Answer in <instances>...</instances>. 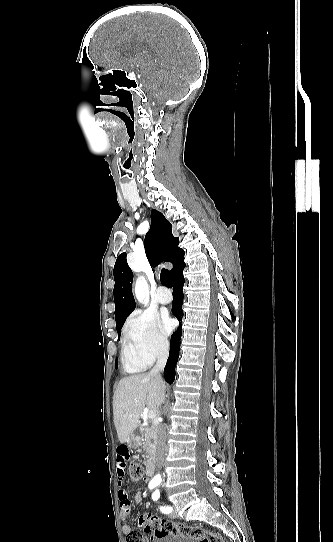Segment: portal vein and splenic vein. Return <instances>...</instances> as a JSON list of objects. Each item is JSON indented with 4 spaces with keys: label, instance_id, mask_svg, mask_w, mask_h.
<instances>
[{
    "label": "portal vein and splenic vein",
    "instance_id": "1",
    "mask_svg": "<svg viewBox=\"0 0 333 542\" xmlns=\"http://www.w3.org/2000/svg\"><path fill=\"white\" fill-rule=\"evenodd\" d=\"M156 416H157L156 410H148L147 418H150V420H153V418H156Z\"/></svg>",
    "mask_w": 333,
    "mask_h": 542
}]
</instances>
